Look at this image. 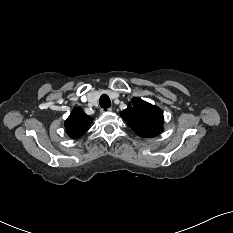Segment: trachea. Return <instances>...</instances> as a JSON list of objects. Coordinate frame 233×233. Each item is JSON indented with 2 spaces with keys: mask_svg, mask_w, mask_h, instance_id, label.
Instances as JSON below:
<instances>
[{
  "mask_svg": "<svg viewBox=\"0 0 233 233\" xmlns=\"http://www.w3.org/2000/svg\"><path fill=\"white\" fill-rule=\"evenodd\" d=\"M99 104L102 108H109L111 106L110 98L107 95H102L100 97Z\"/></svg>",
  "mask_w": 233,
  "mask_h": 233,
  "instance_id": "trachea-1",
  "label": "trachea"
}]
</instances>
